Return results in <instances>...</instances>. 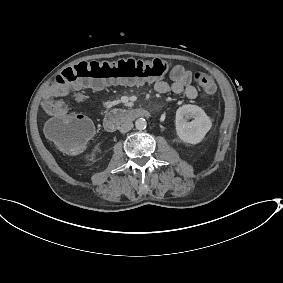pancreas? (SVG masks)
<instances>
[{
	"label": "pancreas",
	"instance_id": "cf45deb5",
	"mask_svg": "<svg viewBox=\"0 0 283 283\" xmlns=\"http://www.w3.org/2000/svg\"><path fill=\"white\" fill-rule=\"evenodd\" d=\"M122 112H123V113H128V111H126V110H123Z\"/></svg>",
	"mask_w": 283,
	"mask_h": 283
}]
</instances>
